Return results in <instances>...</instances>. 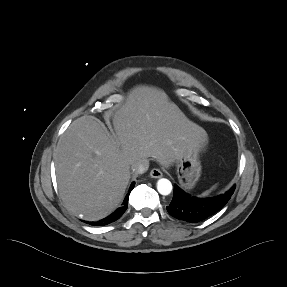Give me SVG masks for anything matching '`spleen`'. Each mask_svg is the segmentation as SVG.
Here are the masks:
<instances>
[{
    "label": "spleen",
    "instance_id": "obj_1",
    "mask_svg": "<svg viewBox=\"0 0 287 287\" xmlns=\"http://www.w3.org/2000/svg\"><path fill=\"white\" fill-rule=\"evenodd\" d=\"M208 193V191H206L204 194H207Z\"/></svg>",
    "mask_w": 287,
    "mask_h": 287
}]
</instances>
